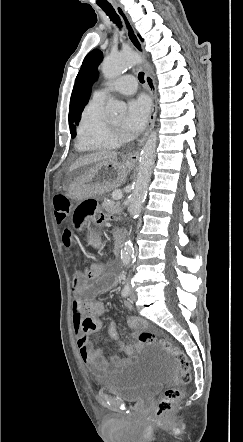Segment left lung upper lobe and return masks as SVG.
Returning a JSON list of instances; mask_svg holds the SVG:
<instances>
[{
	"instance_id": "obj_1",
	"label": "left lung upper lobe",
	"mask_w": 243,
	"mask_h": 442,
	"mask_svg": "<svg viewBox=\"0 0 243 442\" xmlns=\"http://www.w3.org/2000/svg\"><path fill=\"white\" fill-rule=\"evenodd\" d=\"M103 54L100 50H92L84 59L80 71L76 77V85L79 86L76 108H75V123L80 121L81 113L87 104L93 82L98 77V65L102 61ZM76 127L71 128V136L75 137Z\"/></svg>"
}]
</instances>
